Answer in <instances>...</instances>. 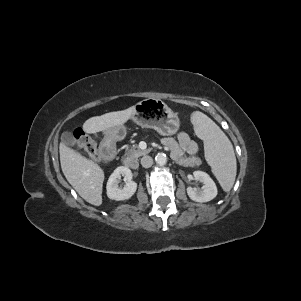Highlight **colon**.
I'll return each mask as SVG.
<instances>
[{"instance_id":"colon-1","label":"colon","mask_w":301,"mask_h":301,"mask_svg":"<svg viewBox=\"0 0 301 301\" xmlns=\"http://www.w3.org/2000/svg\"><path fill=\"white\" fill-rule=\"evenodd\" d=\"M76 144L82 148L93 160H101L97 151L96 143L82 129L77 128L73 132Z\"/></svg>"}]
</instances>
